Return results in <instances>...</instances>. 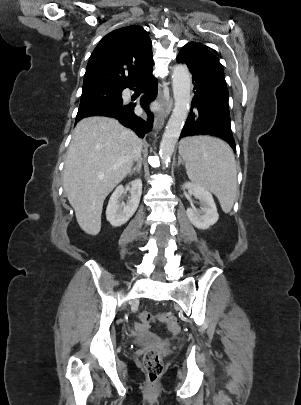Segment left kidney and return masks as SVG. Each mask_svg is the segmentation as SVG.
Returning <instances> with one entry per match:
<instances>
[{"label": "left kidney", "mask_w": 301, "mask_h": 405, "mask_svg": "<svg viewBox=\"0 0 301 405\" xmlns=\"http://www.w3.org/2000/svg\"><path fill=\"white\" fill-rule=\"evenodd\" d=\"M183 189L192 192L194 197L201 202V210L188 208L186 214L190 222L198 229L206 230L214 225L219 215L217 213L216 204L211 193L206 188L191 182L183 184Z\"/></svg>", "instance_id": "obj_1"}]
</instances>
